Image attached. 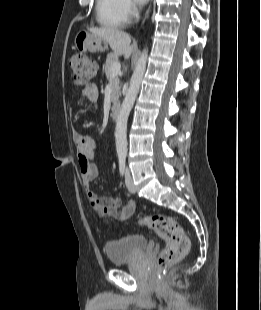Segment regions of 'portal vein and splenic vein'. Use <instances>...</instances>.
<instances>
[{"mask_svg": "<svg viewBox=\"0 0 261 310\" xmlns=\"http://www.w3.org/2000/svg\"><path fill=\"white\" fill-rule=\"evenodd\" d=\"M120 69H121V65L119 62L113 63L111 68H110L111 76H116L119 73Z\"/></svg>", "mask_w": 261, "mask_h": 310, "instance_id": "portal-vein-and-splenic-vein-1", "label": "portal vein and splenic vein"}]
</instances>
